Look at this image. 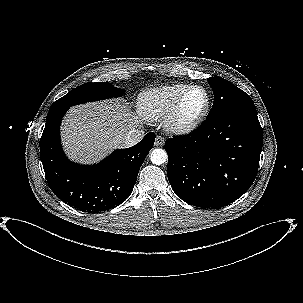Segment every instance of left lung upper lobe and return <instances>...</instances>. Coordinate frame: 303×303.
<instances>
[{"instance_id": "left-lung-upper-lobe-1", "label": "left lung upper lobe", "mask_w": 303, "mask_h": 303, "mask_svg": "<svg viewBox=\"0 0 303 303\" xmlns=\"http://www.w3.org/2000/svg\"><path fill=\"white\" fill-rule=\"evenodd\" d=\"M208 83L214 93V102L206 119L245 110H256L251 97L231 82L215 76L208 78Z\"/></svg>"}]
</instances>
